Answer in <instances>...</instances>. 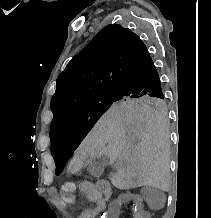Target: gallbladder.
Segmentation results:
<instances>
[{"label": "gallbladder", "instance_id": "obj_1", "mask_svg": "<svg viewBox=\"0 0 211 218\" xmlns=\"http://www.w3.org/2000/svg\"><path fill=\"white\" fill-rule=\"evenodd\" d=\"M108 162V156H102L99 162L91 160L87 166V172H89L91 176H95V178H100V176L104 174V166H107Z\"/></svg>", "mask_w": 211, "mask_h": 218}]
</instances>
